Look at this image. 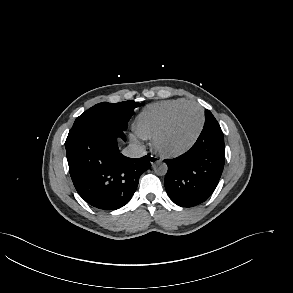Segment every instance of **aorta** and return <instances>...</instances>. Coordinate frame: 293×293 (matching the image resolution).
Masks as SVG:
<instances>
[{"label": "aorta", "mask_w": 293, "mask_h": 293, "mask_svg": "<svg viewBox=\"0 0 293 293\" xmlns=\"http://www.w3.org/2000/svg\"><path fill=\"white\" fill-rule=\"evenodd\" d=\"M154 171L157 175H165L168 171V167L166 165V163H163V162H157L155 165H154Z\"/></svg>", "instance_id": "762f6f07"}]
</instances>
